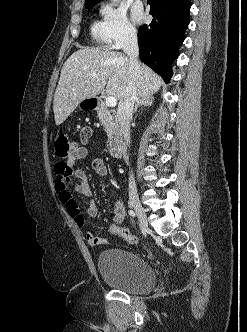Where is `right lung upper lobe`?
Here are the masks:
<instances>
[{
	"label": "right lung upper lobe",
	"instance_id": "right-lung-upper-lobe-1",
	"mask_svg": "<svg viewBox=\"0 0 247 332\" xmlns=\"http://www.w3.org/2000/svg\"><path fill=\"white\" fill-rule=\"evenodd\" d=\"M99 1H101V0H86V4L85 5H92V4H96V3H98Z\"/></svg>",
	"mask_w": 247,
	"mask_h": 332
}]
</instances>
